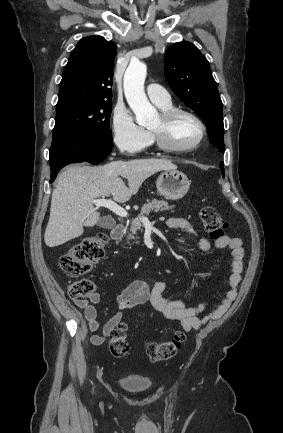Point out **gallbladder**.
Wrapping results in <instances>:
<instances>
[{"label":"gallbladder","mask_w":283,"mask_h":433,"mask_svg":"<svg viewBox=\"0 0 283 433\" xmlns=\"http://www.w3.org/2000/svg\"><path fill=\"white\" fill-rule=\"evenodd\" d=\"M97 225L98 227H102V229H113V227L116 225V221L111 219V217H101Z\"/></svg>","instance_id":"bac80fb5"}]
</instances>
